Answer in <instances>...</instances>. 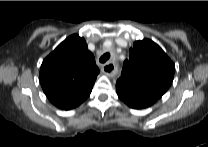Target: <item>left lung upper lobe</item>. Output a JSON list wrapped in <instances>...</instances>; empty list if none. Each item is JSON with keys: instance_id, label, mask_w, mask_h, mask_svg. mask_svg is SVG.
Listing matches in <instances>:
<instances>
[{"instance_id": "1", "label": "left lung upper lobe", "mask_w": 208, "mask_h": 147, "mask_svg": "<svg viewBox=\"0 0 208 147\" xmlns=\"http://www.w3.org/2000/svg\"><path fill=\"white\" fill-rule=\"evenodd\" d=\"M175 65L152 40L136 41L116 84L161 98L170 87Z\"/></svg>"}]
</instances>
